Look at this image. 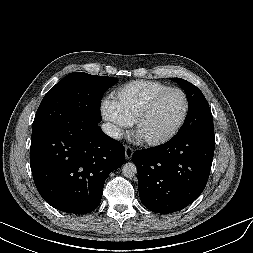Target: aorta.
Returning a JSON list of instances; mask_svg holds the SVG:
<instances>
[{
    "label": "aorta",
    "instance_id": "762f6f07",
    "mask_svg": "<svg viewBox=\"0 0 253 253\" xmlns=\"http://www.w3.org/2000/svg\"><path fill=\"white\" fill-rule=\"evenodd\" d=\"M136 173H137V168L134 163L128 162L122 166V174L126 178H132L136 175Z\"/></svg>",
    "mask_w": 253,
    "mask_h": 253
}]
</instances>
